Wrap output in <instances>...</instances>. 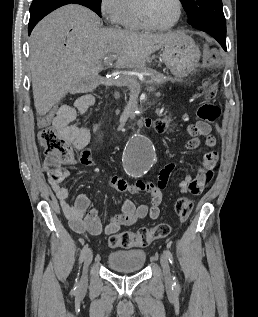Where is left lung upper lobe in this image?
Listing matches in <instances>:
<instances>
[{
  "instance_id": "1",
  "label": "left lung upper lobe",
  "mask_w": 258,
  "mask_h": 317,
  "mask_svg": "<svg viewBox=\"0 0 258 317\" xmlns=\"http://www.w3.org/2000/svg\"><path fill=\"white\" fill-rule=\"evenodd\" d=\"M194 28H226L222 0H180Z\"/></svg>"
}]
</instances>
